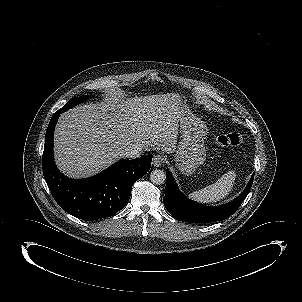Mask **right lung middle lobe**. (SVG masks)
<instances>
[{
    "mask_svg": "<svg viewBox=\"0 0 302 302\" xmlns=\"http://www.w3.org/2000/svg\"><path fill=\"white\" fill-rule=\"evenodd\" d=\"M88 95H84V96H80V97H77V98H71L64 107H62L61 109H59L58 111H60L61 113L69 110L70 108H72L73 106L75 105H78L82 102H84L85 100L88 99Z\"/></svg>",
    "mask_w": 302,
    "mask_h": 302,
    "instance_id": "obj_1",
    "label": "right lung middle lobe"
}]
</instances>
